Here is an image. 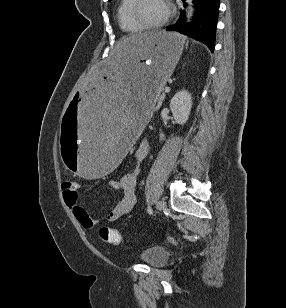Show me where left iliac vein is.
I'll list each match as a JSON object with an SVG mask.
<instances>
[{
  "instance_id": "left-iliac-vein-1",
  "label": "left iliac vein",
  "mask_w": 286,
  "mask_h": 308,
  "mask_svg": "<svg viewBox=\"0 0 286 308\" xmlns=\"http://www.w3.org/2000/svg\"><path fill=\"white\" fill-rule=\"evenodd\" d=\"M166 204L163 200L157 202L156 207L159 211H162L165 208Z\"/></svg>"
}]
</instances>
